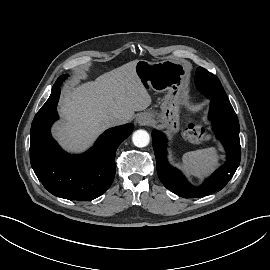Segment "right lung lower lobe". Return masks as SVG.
<instances>
[{"instance_id": "1", "label": "right lung lower lobe", "mask_w": 270, "mask_h": 270, "mask_svg": "<svg viewBox=\"0 0 270 270\" xmlns=\"http://www.w3.org/2000/svg\"><path fill=\"white\" fill-rule=\"evenodd\" d=\"M60 88L37 112L31 125L30 162L43 184L53 195L69 200H93L112 184L115 176V154L118 146L133 131L132 124L105 131L85 154L71 155L52 138L50 127L57 120Z\"/></svg>"}]
</instances>
